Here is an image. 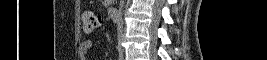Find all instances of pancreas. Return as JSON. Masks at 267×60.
Returning <instances> with one entry per match:
<instances>
[{
    "mask_svg": "<svg viewBox=\"0 0 267 60\" xmlns=\"http://www.w3.org/2000/svg\"><path fill=\"white\" fill-rule=\"evenodd\" d=\"M104 2L106 3V5H111L112 4V0H104Z\"/></svg>",
    "mask_w": 267,
    "mask_h": 60,
    "instance_id": "cf45deb5",
    "label": "pancreas"
}]
</instances>
